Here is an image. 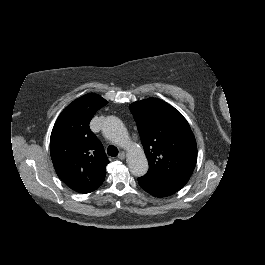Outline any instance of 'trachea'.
<instances>
[{
    "label": "trachea",
    "instance_id": "trachea-1",
    "mask_svg": "<svg viewBox=\"0 0 265 265\" xmlns=\"http://www.w3.org/2000/svg\"><path fill=\"white\" fill-rule=\"evenodd\" d=\"M107 154H108L109 156H113V157H115V156L118 155V149H117L115 146L111 145V146H109L108 149H107Z\"/></svg>",
    "mask_w": 265,
    "mask_h": 265
}]
</instances>
